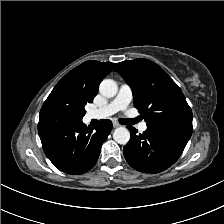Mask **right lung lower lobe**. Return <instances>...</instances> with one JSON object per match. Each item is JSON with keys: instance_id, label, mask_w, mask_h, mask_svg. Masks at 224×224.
<instances>
[{"instance_id": "1", "label": "right lung lower lobe", "mask_w": 224, "mask_h": 224, "mask_svg": "<svg viewBox=\"0 0 224 224\" xmlns=\"http://www.w3.org/2000/svg\"><path fill=\"white\" fill-rule=\"evenodd\" d=\"M112 130L110 120L90 128L81 120L55 113H40L38 133L48 159L60 171L82 174L97 162L101 146Z\"/></svg>"}]
</instances>
